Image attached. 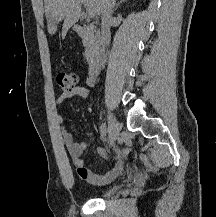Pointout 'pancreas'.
<instances>
[{
  "label": "pancreas",
  "mask_w": 216,
  "mask_h": 217,
  "mask_svg": "<svg viewBox=\"0 0 216 217\" xmlns=\"http://www.w3.org/2000/svg\"><path fill=\"white\" fill-rule=\"evenodd\" d=\"M92 33H93V29H92L91 27H87V28L83 31L81 37H82V39H83V45H84L85 47H88V46H89V41H90V39H91Z\"/></svg>",
  "instance_id": "1"
}]
</instances>
